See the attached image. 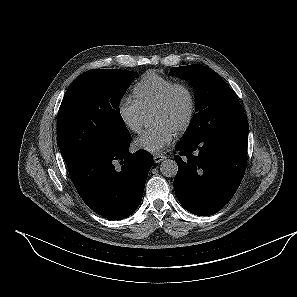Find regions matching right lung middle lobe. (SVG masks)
I'll use <instances>...</instances> for the list:
<instances>
[{
  "label": "right lung middle lobe",
  "mask_w": 297,
  "mask_h": 297,
  "mask_svg": "<svg viewBox=\"0 0 297 297\" xmlns=\"http://www.w3.org/2000/svg\"><path fill=\"white\" fill-rule=\"evenodd\" d=\"M137 76L119 69H96L71 84L57 118L58 145L66 165L91 149L119 146L131 138L119 103Z\"/></svg>",
  "instance_id": "1"
}]
</instances>
